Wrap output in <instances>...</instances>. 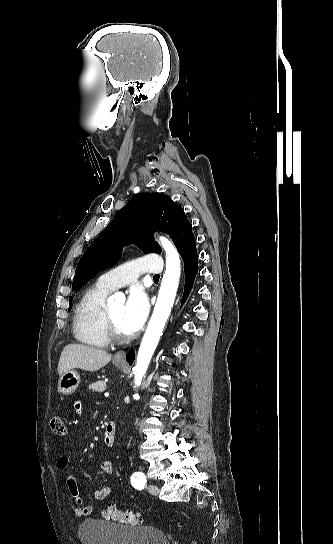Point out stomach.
I'll use <instances>...</instances> for the list:
<instances>
[{
    "label": "stomach",
    "instance_id": "0dacf381",
    "mask_svg": "<svg viewBox=\"0 0 333 544\" xmlns=\"http://www.w3.org/2000/svg\"><path fill=\"white\" fill-rule=\"evenodd\" d=\"M117 367H120V363H115ZM80 384V375L75 370L66 371L59 379L58 390L62 394H72Z\"/></svg>",
    "mask_w": 333,
    "mask_h": 544
}]
</instances>
